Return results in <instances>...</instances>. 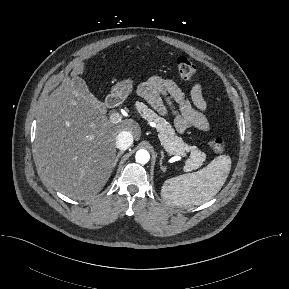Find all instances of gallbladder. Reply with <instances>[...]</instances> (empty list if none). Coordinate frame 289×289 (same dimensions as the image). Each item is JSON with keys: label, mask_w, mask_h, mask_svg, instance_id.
<instances>
[{"label": "gallbladder", "mask_w": 289, "mask_h": 289, "mask_svg": "<svg viewBox=\"0 0 289 289\" xmlns=\"http://www.w3.org/2000/svg\"><path fill=\"white\" fill-rule=\"evenodd\" d=\"M74 84H75V87L81 91V92H84L86 94H89L90 98L92 99V101L95 103V105H97L101 110H103L105 108V105L103 102L99 101L92 93L89 92L88 90V87L86 85V83L80 79V78H77V79H74Z\"/></svg>", "instance_id": "obj_1"}]
</instances>
